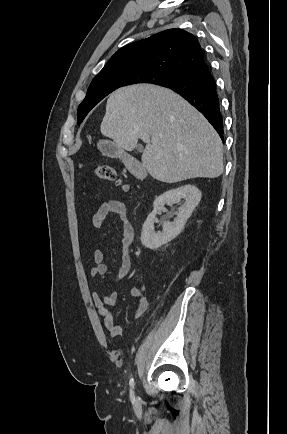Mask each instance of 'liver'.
<instances>
[{
    "mask_svg": "<svg viewBox=\"0 0 287 434\" xmlns=\"http://www.w3.org/2000/svg\"><path fill=\"white\" fill-rule=\"evenodd\" d=\"M102 135L132 151L146 143L141 160L156 180L176 183L223 173V144L207 119L173 91L148 84L114 91Z\"/></svg>",
    "mask_w": 287,
    "mask_h": 434,
    "instance_id": "6515ba94",
    "label": "liver"
}]
</instances>
